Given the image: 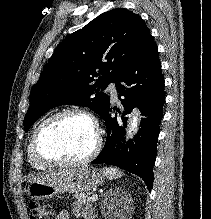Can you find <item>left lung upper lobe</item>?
<instances>
[{
    "label": "left lung upper lobe",
    "instance_id": "5c2ea615",
    "mask_svg": "<svg viewBox=\"0 0 211 219\" xmlns=\"http://www.w3.org/2000/svg\"><path fill=\"white\" fill-rule=\"evenodd\" d=\"M149 36L139 15L119 8L65 38L32 88L25 131L59 105L87 106L102 116L109 108V96L102 90L116 81Z\"/></svg>",
    "mask_w": 211,
    "mask_h": 219
}]
</instances>
